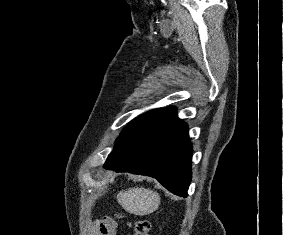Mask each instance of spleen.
<instances>
[{
  "mask_svg": "<svg viewBox=\"0 0 283 235\" xmlns=\"http://www.w3.org/2000/svg\"><path fill=\"white\" fill-rule=\"evenodd\" d=\"M116 199L124 210L139 216L154 212L161 200L157 192L143 187L122 190L117 194Z\"/></svg>",
  "mask_w": 283,
  "mask_h": 235,
  "instance_id": "3e777b00",
  "label": "spleen"
}]
</instances>
